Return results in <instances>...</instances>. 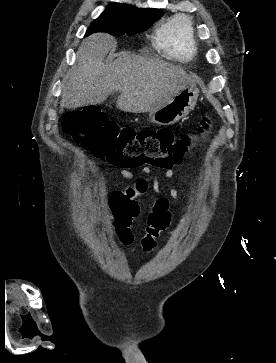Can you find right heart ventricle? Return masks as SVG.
Returning a JSON list of instances; mask_svg holds the SVG:
<instances>
[{"label":"right heart ventricle","instance_id":"e07e8e85","mask_svg":"<svg viewBox=\"0 0 276 363\" xmlns=\"http://www.w3.org/2000/svg\"><path fill=\"white\" fill-rule=\"evenodd\" d=\"M155 46L170 57L190 60L195 54L191 21L176 16L162 23L156 31Z\"/></svg>","mask_w":276,"mask_h":363}]
</instances>
